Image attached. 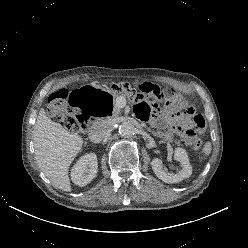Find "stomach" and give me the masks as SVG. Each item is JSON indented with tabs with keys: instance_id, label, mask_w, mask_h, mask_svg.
I'll list each match as a JSON object with an SVG mask.
<instances>
[{
	"instance_id": "0dacf381",
	"label": "stomach",
	"mask_w": 248,
	"mask_h": 248,
	"mask_svg": "<svg viewBox=\"0 0 248 248\" xmlns=\"http://www.w3.org/2000/svg\"><path fill=\"white\" fill-rule=\"evenodd\" d=\"M69 101L76 111L92 113L100 120L110 119L117 108L115 98L103 86H77L71 91Z\"/></svg>"
}]
</instances>
